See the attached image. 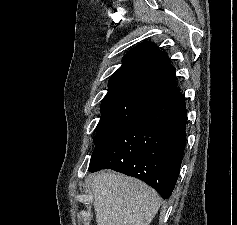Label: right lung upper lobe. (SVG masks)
Returning a JSON list of instances; mask_svg holds the SVG:
<instances>
[{"mask_svg":"<svg viewBox=\"0 0 237 225\" xmlns=\"http://www.w3.org/2000/svg\"><path fill=\"white\" fill-rule=\"evenodd\" d=\"M180 94L168 55L146 41L124 56L122 66L110 78L100 120L127 122Z\"/></svg>","mask_w":237,"mask_h":225,"instance_id":"1","label":"right lung upper lobe"}]
</instances>
